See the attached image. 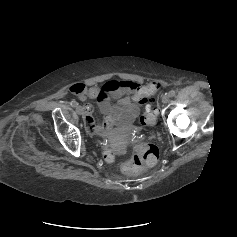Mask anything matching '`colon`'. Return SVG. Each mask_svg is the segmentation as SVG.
<instances>
[{"mask_svg": "<svg viewBox=\"0 0 237 237\" xmlns=\"http://www.w3.org/2000/svg\"><path fill=\"white\" fill-rule=\"evenodd\" d=\"M161 87L160 82L150 83L146 89L149 95H153ZM148 101H146L147 103ZM157 111L150 104H145L144 114L140 118V122L145 126H152L156 120ZM105 158L112 161L114 155L107 151ZM159 158V149L152 143L140 142L134 146V155L129 162L123 163L121 169L126 174H137L147 167L153 166Z\"/></svg>", "mask_w": 237, "mask_h": 237, "instance_id": "5ec220e1", "label": "colon"}]
</instances>
